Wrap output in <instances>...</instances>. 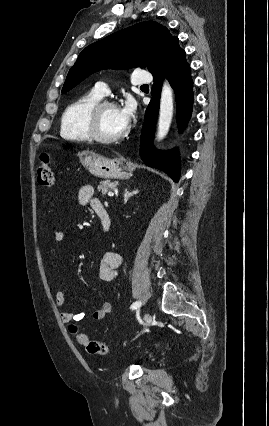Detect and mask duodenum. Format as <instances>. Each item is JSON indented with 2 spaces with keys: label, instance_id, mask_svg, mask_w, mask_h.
Here are the masks:
<instances>
[{
  "label": "duodenum",
  "instance_id": "410a0bca",
  "mask_svg": "<svg viewBox=\"0 0 269 426\" xmlns=\"http://www.w3.org/2000/svg\"><path fill=\"white\" fill-rule=\"evenodd\" d=\"M96 215L100 220L103 232H108L111 229L112 221L107 210L101 206L95 209Z\"/></svg>",
  "mask_w": 269,
  "mask_h": 426
}]
</instances>
